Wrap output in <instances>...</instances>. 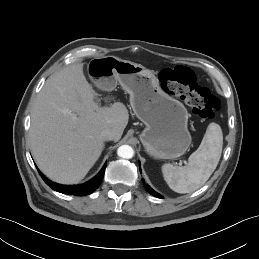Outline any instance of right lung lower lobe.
<instances>
[{"label":"right lung lower lobe","mask_w":259,"mask_h":259,"mask_svg":"<svg viewBox=\"0 0 259 259\" xmlns=\"http://www.w3.org/2000/svg\"><path fill=\"white\" fill-rule=\"evenodd\" d=\"M106 164L102 167L101 171L90 181L80 184V185H61L55 182H52L47 177H45L39 170V174L44 180V182L53 190L63 193V194H69V195H75V196H83L88 195L95 191L99 185L101 184L104 173H105Z\"/></svg>","instance_id":"1"}]
</instances>
